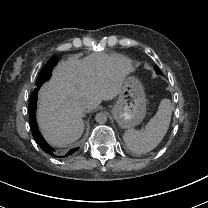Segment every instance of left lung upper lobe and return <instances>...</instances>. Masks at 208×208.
Listing matches in <instances>:
<instances>
[{
  "mask_svg": "<svg viewBox=\"0 0 208 208\" xmlns=\"http://www.w3.org/2000/svg\"><path fill=\"white\" fill-rule=\"evenodd\" d=\"M155 70H156V72H157L158 74H161L160 69H158V68L156 67Z\"/></svg>",
  "mask_w": 208,
  "mask_h": 208,
  "instance_id": "obj_1",
  "label": "left lung upper lobe"
}]
</instances>
